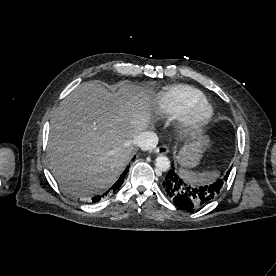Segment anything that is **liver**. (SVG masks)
<instances>
[{
  "instance_id": "liver-1",
  "label": "liver",
  "mask_w": 276,
  "mask_h": 276,
  "mask_svg": "<svg viewBox=\"0 0 276 276\" xmlns=\"http://www.w3.org/2000/svg\"><path fill=\"white\" fill-rule=\"evenodd\" d=\"M110 92L85 82L61 102L51 119L50 169L63 190L89 197L109 188L135 151L133 139L151 122V92L120 82Z\"/></svg>"
}]
</instances>
